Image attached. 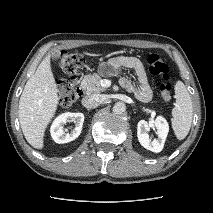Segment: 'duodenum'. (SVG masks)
<instances>
[{"label":"duodenum","mask_w":213,"mask_h":213,"mask_svg":"<svg viewBox=\"0 0 213 213\" xmlns=\"http://www.w3.org/2000/svg\"><path fill=\"white\" fill-rule=\"evenodd\" d=\"M80 89H81V92L83 93V88H82V87H80Z\"/></svg>","instance_id":"obj_1"}]
</instances>
